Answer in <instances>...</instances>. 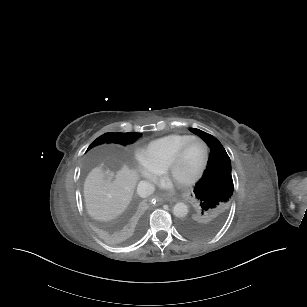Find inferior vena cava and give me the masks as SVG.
Returning a JSON list of instances; mask_svg holds the SVG:
<instances>
[{"mask_svg":"<svg viewBox=\"0 0 307 307\" xmlns=\"http://www.w3.org/2000/svg\"><path fill=\"white\" fill-rule=\"evenodd\" d=\"M155 191V187L153 184L148 183L146 181H140L137 186L138 196L141 198H146L152 195Z\"/></svg>","mask_w":307,"mask_h":307,"instance_id":"inferior-vena-cava-1","label":"inferior vena cava"}]
</instances>
